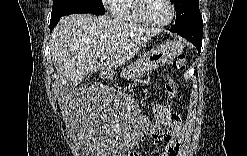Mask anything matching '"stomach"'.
I'll return each instance as SVG.
<instances>
[{
	"label": "stomach",
	"mask_w": 247,
	"mask_h": 156,
	"mask_svg": "<svg viewBox=\"0 0 247 156\" xmlns=\"http://www.w3.org/2000/svg\"><path fill=\"white\" fill-rule=\"evenodd\" d=\"M183 49L184 45L180 41L170 40L145 53L143 57L134 64L128 65L123 71V76L128 79L132 78L138 67L145 71L158 69L176 58Z\"/></svg>",
	"instance_id": "1"
}]
</instances>
